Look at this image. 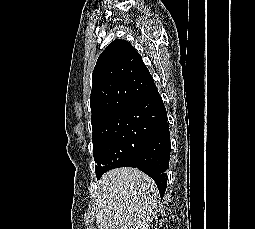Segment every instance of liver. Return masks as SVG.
I'll use <instances>...</instances> for the list:
<instances>
[{"label": "liver", "instance_id": "1", "mask_svg": "<svg viewBox=\"0 0 255 229\" xmlns=\"http://www.w3.org/2000/svg\"><path fill=\"white\" fill-rule=\"evenodd\" d=\"M96 197L99 229H147L159 204L155 182L136 168L105 173Z\"/></svg>", "mask_w": 255, "mask_h": 229}]
</instances>
